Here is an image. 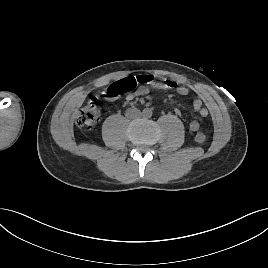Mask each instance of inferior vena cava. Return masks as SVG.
Wrapping results in <instances>:
<instances>
[{"label":"inferior vena cava","mask_w":268,"mask_h":268,"mask_svg":"<svg viewBox=\"0 0 268 268\" xmlns=\"http://www.w3.org/2000/svg\"><path fill=\"white\" fill-rule=\"evenodd\" d=\"M131 112L133 113V116L132 115L130 116ZM127 115L133 118H138L140 117L141 113L139 110H133V111L130 110L127 112Z\"/></svg>","instance_id":"obj_1"}]
</instances>
